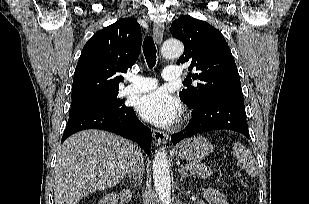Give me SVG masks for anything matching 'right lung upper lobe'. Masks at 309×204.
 <instances>
[{
  "mask_svg": "<svg viewBox=\"0 0 309 204\" xmlns=\"http://www.w3.org/2000/svg\"><path fill=\"white\" fill-rule=\"evenodd\" d=\"M137 21L124 18L96 32L85 44L72 85V103L118 92L121 73L135 64L141 50Z\"/></svg>",
  "mask_w": 309,
  "mask_h": 204,
  "instance_id": "1",
  "label": "right lung upper lobe"
}]
</instances>
